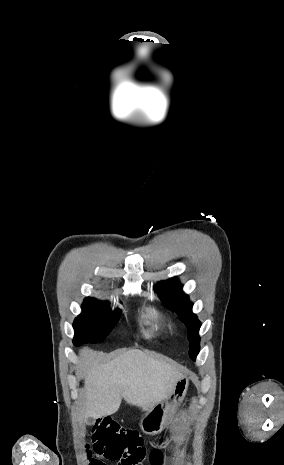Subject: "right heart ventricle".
I'll use <instances>...</instances> for the list:
<instances>
[{
  "label": "right heart ventricle",
  "instance_id": "obj_1",
  "mask_svg": "<svg viewBox=\"0 0 284 465\" xmlns=\"http://www.w3.org/2000/svg\"><path fill=\"white\" fill-rule=\"evenodd\" d=\"M141 319L144 322L151 324L160 332H171L173 329L170 320L154 305H150L145 309V311L141 314Z\"/></svg>",
  "mask_w": 284,
  "mask_h": 465
}]
</instances>
